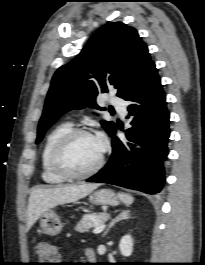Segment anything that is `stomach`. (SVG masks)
<instances>
[{"mask_svg": "<svg viewBox=\"0 0 205 265\" xmlns=\"http://www.w3.org/2000/svg\"><path fill=\"white\" fill-rule=\"evenodd\" d=\"M90 201L95 205L116 206L119 204L118 196L109 189H101L93 192L90 195ZM40 226L46 234L56 236L61 232L63 224L59 216L54 211L49 210L42 214Z\"/></svg>", "mask_w": 205, "mask_h": 265, "instance_id": "obj_1", "label": "stomach"}]
</instances>
